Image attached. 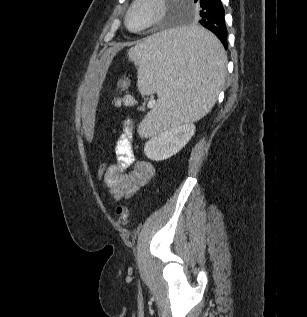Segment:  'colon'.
I'll use <instances>...</instances> for the list:
<instances>
[{"label":"colon","mask_w":307,"mask_h":317,"mask_svg":"<svg viewBox=\"0 0 307 317\" xmlns=\"http://www.w3.org/2000/svg\"><path fill=\"white\" fill-rule=\"evenodd\" d=\"M108 165L101 160H97L96 174L99 178H104ZM117 221L121 226H125L129 220V211L125 205H119L116 209Z\"/></svg>","instance_id":"1"}]
</instances>
